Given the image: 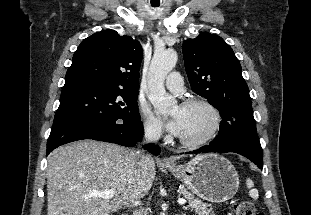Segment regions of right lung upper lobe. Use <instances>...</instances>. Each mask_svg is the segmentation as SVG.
Returning <instances> with one entry per match:
<instances>
[{
	"instance_id": "1",
	"label": "right lung upper lobe",
	"mask_w": 311,
	"mask_h": 215,
	"mask_svg": "<svg viewBox=\"0 0 311 215\" xmlns=\"http://www.w3.org/2000/svg\"><path fill=\"white\" fill-rule=\"evenodd\" d=\"M142 47L114 30L95 33L81 42L67 70L65 85L97 84L137 90Z\"/></svg>"
}]
</instances>
